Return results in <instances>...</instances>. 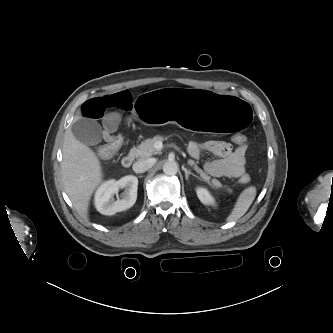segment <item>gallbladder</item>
Returning a JSON list of instances; mask_svg holds the SVG:
<instances>
[{
  "instance_id": "bac80fb5",
  "label": "gallbladder",
  "mask_w": 333,
  "mask_h": 333,
  "mask_svg": "<svg viewBox=\"0 0 333 333\" xmlns=\"http://www.w3.org/2000/svg\"><path fill=\"white\" fill-rule=\"evenodd\" d=\"M74 137L85 145H95L101 142L102 129L100 125L89 118H79L71 127Z\"/></svg>"
}]
</instances>
